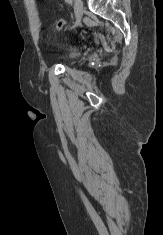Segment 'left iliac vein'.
<instances>
[{"mask_svg":"<svg viewBox=\"0 0 163 235\" xmlns=\"http://www.w3.org/2000/svg\"><path fill=\"white\" fill-rule=\"evenodd\" d=\"M74 11H75V25H74V27H76L80 24L82 16H83V2H82V0H75L74 1Z\"/></svg>","mask_w":163,"mask_h":235,"instance_id":"4c4485c4","label":"left iliac vein"}]
</instances>
